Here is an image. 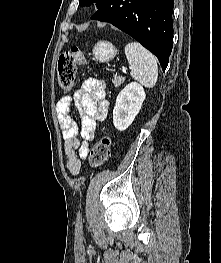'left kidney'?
<instances>
[{"mask_svg":"<svg viewBox=\"0 0 221 263\" xmlns=\"http://www.w3.org/2000/svg\"><path fill=\"white\" fill-rule=\"evenodd\" d=\"M146 98L144 88L136 83H129L118 94L113 109V124L119 131L126 130L139 113Z\"/></svg>","mask_w":221,"mask_h":263,"instance_id":"1","label":"left kidney"}]
</instances>
